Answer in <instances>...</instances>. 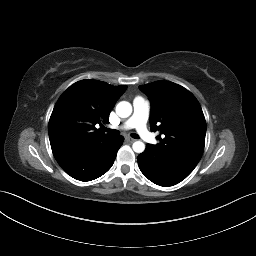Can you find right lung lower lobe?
Returning <instances> with one entry per match:
<instances>
[{"label":"right lung lower lobe","mask_w":256,"mask_h":256,"mask_svg":"<svg viewBox=\"0 0 256 256\" xmlns=\"http://www.w3.org/2000/svg\"><path fill=\"white\" fill-rule=\"evenodd\" d=\"M123 140V136H113L57 162L71 177L80 181H91L111 168Z\"/></svg>","instance_id":"right-lung-lower-lobe-1"}]
</instances>
